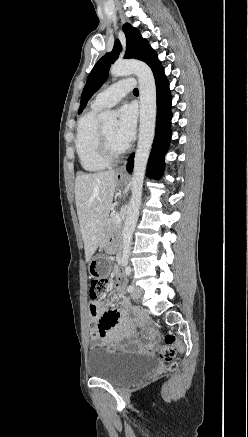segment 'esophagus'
<instances>
[{
	"label": "esophagus",
	"instance_id": "1",
	"mask_svg": "<svg viewBox=\"0 0 248 437\" xmlns=\"http://www.w3.org/2000/svg\"><path fill=\"white\" fill-rule=\"evenodd\" d=\"M126 173V161L124 164L118 169L116 176H125Z\"/></svg>",
	"mask_w": 248,
	"mask_h": 437
}]
</instances>
